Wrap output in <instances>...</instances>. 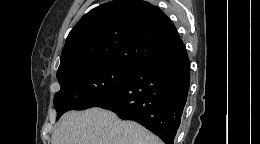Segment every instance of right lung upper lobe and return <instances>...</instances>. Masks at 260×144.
<instances>
[{
	"instance_id": "cb5924a9",
	"label": "right lung upper lobe",
	"mask_w": 260,
	"mask_h": 144,
	"mask_svg": "<svg viewBox=\"0 0 260 144\" xmlns=\"http://www.w3.org/2000/svg\"><path fill=\"white\" fill-rule=\"evenodd\" d=\"M183 45L158 7L141 0H115L86 15L70 31L57 76L97 65H136Z\"/></svg>"
}]
</instances>
